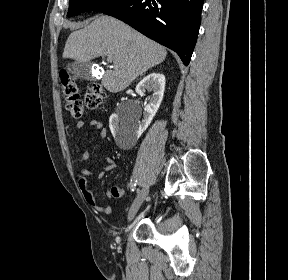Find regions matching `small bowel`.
<instances>
[{
	"mask_svg": "<svg viewBox=\"0 0 288 280\" xmlns=\"http://www.w3.org/2000/svg\"><path fill=\"white\" fill-rule=\"evenodd\" d=\"M84 125L85 124L83 121H79L77 123V129L78 130L83 129ZM89 125L100 132L101 138L103 140L107 138V130L101 121L97 119H92L89 122ZM75 149L83 161L89 160L90 155L88 151L80 149V147L77 145H75ZM105 162L106 164L102 167V169L96 172L91 171L87 168H82L80 173L78 174L77 182L85 201L92 208L96 209L101 213L110 214L112 212V207L110 205H102L98 203L88 183V177H95L97 179H102L104 178L106 173L112 171L116 167L114 159L110 156L105 157ZM124 195H125L124 189L119 186H112L106 191V196L108 198H121L124 197Z\"/></svg>",
	"mask_w": 288,
	"mask_h": 280,
	"instance_id": "small-bowel-1",
	"label": "small bowel"
}]
</instances>
